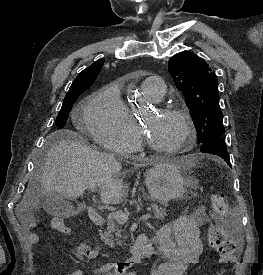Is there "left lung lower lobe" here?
<instances>
[{
	"instance_id": "left-lung-lower-lobe-1",
	"label": "left lung lower lobe",
	"mask_w": 263,
	"mask_h": 275,
	"mask_svg": "<svg viewBox=\"0 0 263 275\" xmlns=\"http://www.w3.org/2000/svg\"><path fill=\"white\" fill-rule=\"evenodd\" d=\"M201 152L217 155L223 158L227 164L231 167L229 153L223 139L218 136L202 144Z\"/></svg>"
}]
</instances>
